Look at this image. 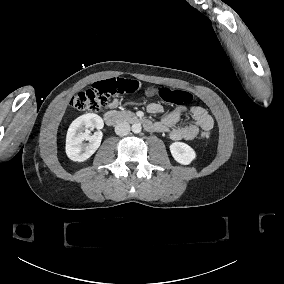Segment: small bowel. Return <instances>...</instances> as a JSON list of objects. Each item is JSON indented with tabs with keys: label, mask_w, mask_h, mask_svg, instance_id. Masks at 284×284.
<instances>
[{
	"label": "small bowel",
	"mask_w": 284,
	"mask_h": 284,
	"mask_svg": "<svg viewBox=\"0 0 284 284\" xmlns=\"http://www.w3.org/2000/svg\"><path fill=\"white\" fill-rule=\"evenodd\" d=\"M119 101L114 98L109 103V108H117ZM163 106L159 103H150L147 111L150 114H159L163 112ZM191 116V122L185 126H177V122L183 118L186 113ZM151 126L148 130L166 133L171 140H192L200 130H212L214 127V120L208 111L202 106H180L171 111L163 119L150 122Z\"/></svg>",
	"instance_id": "1"
}]
</instances>
